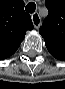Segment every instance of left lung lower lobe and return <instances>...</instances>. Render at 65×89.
Returning a JSON list of instances; mask_svg holds the SVG:
<instances>
[{"mask_svg":"<svg viewBox=\"0 0 65 89\" xmlns=\"http://www.w3.org/2000/svg\"><path fill=\"white\" fill-rule=\"evenodd\" d=\"M45 45L50 52L58 60H65V45L45 41Z\"/></svg>","mask_w":65,"mask_h":89,"instance_id":"1","label":"left lung lower lobe"}]
</instances>
